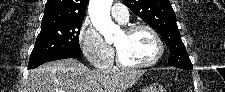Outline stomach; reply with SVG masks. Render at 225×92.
Segmentation results:
<instances>
[{
    "mask_svg": "<svg viewBox=\"0 0 225 92\" xmlns=\"http://www.w3.org/2000/svg\"><path fill=\"white\" fill-rule=\"evenodd\" d=\"M142 92H165V90L163 89V87L159 85H153V86L144 88Z\"/></svg>",
    "mask_w": 225,
    "mask_h": 92,
    "instance_id": "1",
    "label": "stomach"
}]
</instances>
